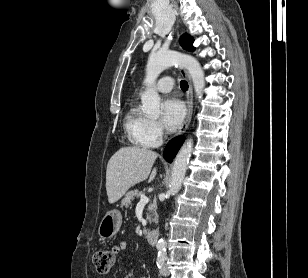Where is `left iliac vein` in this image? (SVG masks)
<instances>
[{"instance_id": "left-iliac-vein-1", "label": "left iliac vein", "mask_w": 308, "mask_h": 278, "mask_svg": "<svg viewBox=\"0 0 308 278\" xmlns=\"http://www.w3.org/2000/svg\"><path fill=\"white\" fill-rule=\"evenodd\" d=\"M169 269H168V266L165 264V265H163V267L162 268H160V274L162 275V276H168L169 275Z\"/></svg>"}]
</instances>
